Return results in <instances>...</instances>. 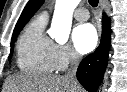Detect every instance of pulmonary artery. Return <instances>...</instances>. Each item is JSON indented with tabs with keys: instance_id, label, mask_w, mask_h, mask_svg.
<instances>
[{
	"instance_id": "obj_1",
	"label": "pulmonary artery",
	"mask_w": 127,
	"mask_h": 92,
	"mask_svg": "<svg viewBox=\"0 0 127 92\" xmlns=\"http://www.w3.org/2000/svg\"><path fill=\"white\" fill-rule=\"evenodd\" d=\"M74 17L79 21H86L89 18L88 10L84 7H79L74 11Z\"/></svg>"
}]
</instances>
